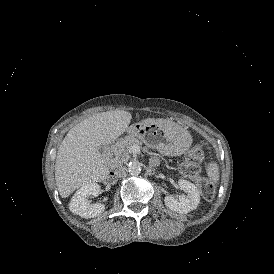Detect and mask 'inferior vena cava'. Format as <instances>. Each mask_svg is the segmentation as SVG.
<instances>
[{
  "mask_svg": "<svg viewBox=\"0 0 274 274\" xmlns=\"http://www.w3.org/2000/svg\"><path fill=\"white\" fill-rule=\"evenodd\" d=\"M128 169L125 166H119L116 170H115V175L117 177H123L126 175Z\"/></svg>",
  "mask_w": 274,
  "mask_h": 274,
  "instance_id": "1",
  "label": "inferior vena cava"
}]
</instances>
